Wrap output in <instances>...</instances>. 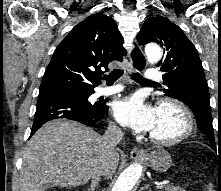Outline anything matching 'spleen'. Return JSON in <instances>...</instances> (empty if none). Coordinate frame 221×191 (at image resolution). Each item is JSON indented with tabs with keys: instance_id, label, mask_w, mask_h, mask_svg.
I'll return each instance as SVG.
<instances>
[{
	"instance_id": "obj_1",
	"label": "spleen",
	"mask_w": 221,
	"mask_h": 191,
	"mask_svg": "<svg viewBox=\"0 0 221 191\" xmlns=\"http://www.w3.org/2000/svg\"><path fill=\"white\" fill-rule=\"evenodd\" d=\"M212 184H209V186H207L208 191H212Z\"/></svg>"
}]
</instances>
